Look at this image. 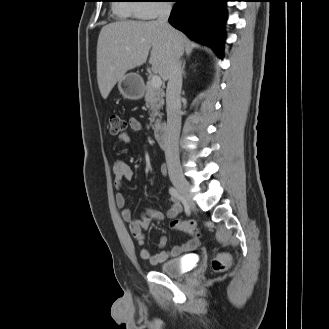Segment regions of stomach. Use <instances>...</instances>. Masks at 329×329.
Wrapping results in <instances>:
<instances>
[{
    "label": "stomach",
    "mask_w": 329,
    "mask_h": 329,
    "mask_svg": "<svg viewBox=\"0 0 329 329\" xmlns=\"http://www.w3.org/2000/svg\"><path fill=\"white\" fill-rule=\"evenodd\" d=\"M118 89L125 98L139 100L144 95L143 79L137 73H129L118 82Z\"/></svg>",
    "instance_id": "0dacf381"
}]
</instances>
